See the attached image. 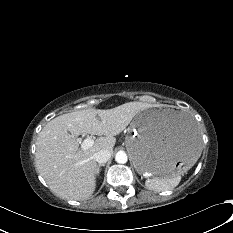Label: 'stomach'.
<instances>
[{
	"instance_id": "stomach-1",
	"label": "stomach",
	"mask_w": 233,
	"mask_h": 233,
	"mask_svg": "<svg viewBox=\"0 0 233 233\" xmlns=\"http://www.w3.org/2000/svg\"><path fill=\"white\" fill-rule=\"evenodd\" d=\"M126 147L140 174L171 177L197 160L201 141L187 113L153 108L136 115L126 135Z\"/></svg>"
}]
</instances>
